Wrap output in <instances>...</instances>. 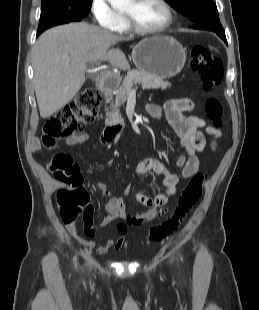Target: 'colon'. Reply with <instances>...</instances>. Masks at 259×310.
Instances as JSON below:
<instances>
[{"instance_id":"1","label":"colon","mask_w":259,"mask_h":310,"mask_svg":"<svg viewBox=\"0 0 259 310\" xmlns=\"http://www.w3.org/2000/svg\"><path fill=\"white\" fill-rule=\"evenodd\" d=\"M189 56L191 68L199 74L203 88L207 91L214 89L224 74L218 56L201 45L190 47ZM100 103L101 94L96 88L83 89L70 105L47 120L43 129V144L52 148L61 139L82 134L85 126L98 118ZM205 113L214 128H222L224 108L219 100L208 98L205 103ZM51 169L54 176L65 185L56 195L60 218L65 225H74L80 217L84 218L86 211L91 209L90 195L83 186L80 169L74 164L72 157L65 153H58L52 158ZM204 179L203 173H197L190 179L181 191L172 215L150 228L147 236L148 243L160 242L178 230L200 198ZM117 230L122 235L127 233L124 223H118Z\"/></svg>"}]
</instances>
